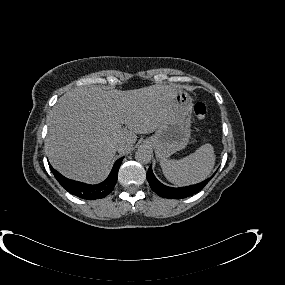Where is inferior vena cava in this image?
<instances>
[{
	"label": "inferior vena cava",
	"mask_w": 285,
	"mask_h": 285,
	"mask_svg": "<svg viewBox=\"0 0 285 285\" xmlns=\"http://www.w3.org/2000/svg\"><path fill=\"white\" fill-rule=\"evenodd\" d=\"M122 146H123V143H118L116 147L119 149V148H121Z\"/></svg>",
	"instance_id": "inferior-vena-cava-1"
}]
</instances>
